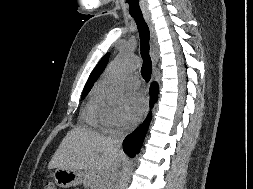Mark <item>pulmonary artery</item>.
Instances as JSON below:
<instances>
[{
	"mask_svg": "<svg viewBox=\"0 0 253 189\" xmlns=\"http://www.w3.org/2000/svg\"><path fill=\"white\" fill-rule=\"evenodd\" d=\"M129 84L131 85V86H133V87H138V85H139V80H138V78L136 77V76H131L130 78H129Z\"/></svg>",
	"mask_w": 253,
	"mask_h": 189,
	"instance_id": "obj_1",
	"label": "pulmonary artery"
}]
</instances>
